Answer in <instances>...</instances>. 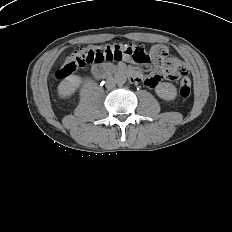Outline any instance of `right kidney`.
I'll list each match as a JSON object with an SVG mask.
<instances>
[{
    "mask_svg": "<svg viewBox=\"0 0 232 232\" xmlns=\"http://www.w3.org/2000/svg\"><path fill=\"white\" fill-rule=\"evenodd\" d=\"M82 80L78 76H69L60 82L58 86V94L62 98H66L75 93L81 85Z\"/></svg>",
    "mask_w": 232,
    "mask_h": 232,
    "instance_id": "obj_1",
    "label": "right kidney"
}]
</instances>
